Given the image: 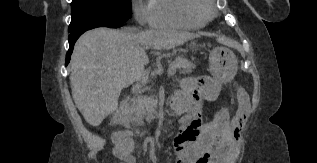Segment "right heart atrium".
I'll list each match as a JSON object with an SVG mask.
<instances>
[{"label":"right heart atrium","mask_w":317,"mask_h":163,"mask_svg":"<svg viewBox=\"0 0 317 163\" xmlns=\"http://www.w3.org/2000/svg\"><path fill=\"white\" fill-rule=\"evenodd\" d=\"M134 17L140 25L150 24L152 6L150 0H130Z\"/></svg>","instance_id":"obj_1"}]
</instances>
